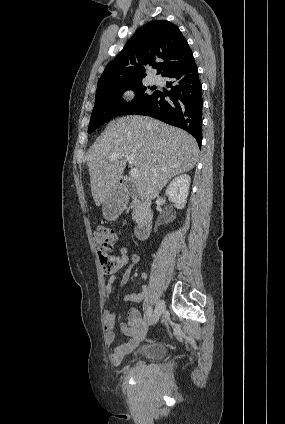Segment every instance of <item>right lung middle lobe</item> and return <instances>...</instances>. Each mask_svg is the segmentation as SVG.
I'll return each mask as SVG.
<instances>
[{
	"label": "right lung middle lobe",
	"mask_w": 285,
	"mask_h": 424,
	"mask_svg": "<svg viewBox=\"0 0 285 424\" xmlns=\"http://www.w3.org/2000/svg\"><path fill=\"white\" fill-rule=\"evenodd\" d=\"M126 90L136 92V97L130 103L122 100ZM142 81L128 82L107 86L96 91L95 104L91 114L88 133L116 116L129 114L132 110L148 102L157 91L151 92Z\"/></svg>",
	"instance_id": "obj_1"
}]
</instances>
